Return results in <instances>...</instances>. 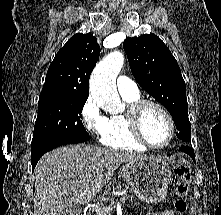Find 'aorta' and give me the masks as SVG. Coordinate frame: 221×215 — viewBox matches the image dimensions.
Segmentation results:
<instances>
[{
  "label": "aorta",
  "instance_id": "762f6f07",
  "mask_svg": "<svg viewBox=\"0 0 221 215\" xmlns=\"http://www.w3.org/2000/svg\"><path fill=\"white\" fill-rule=\"evenodd\" d=\"M123 63V54L114 51L97 64L90 78V92L94 101L102 109L112 114L122 111L116 88V77Z\"/></svg>",
  "mask_w": 221,
  "mask_h": 215
}]
</instances>
